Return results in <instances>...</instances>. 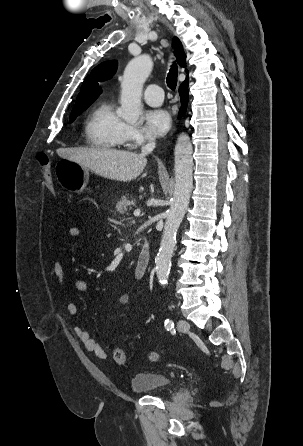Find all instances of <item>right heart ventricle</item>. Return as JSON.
<instances>
[{
  "label": "right heart ventricle",
  "mask_w": 303,
  "mask_h": 446,
  "mask_svg": "<svg viewBox=\"0 0 303 446\" xmlns=\"http://www.w3.org/2000/svg\"><path fill=\"white\" fill-rule=\"evenodd\" d=\"M124 122L116 114L111 101H101L88 115L84 125L87 145L99 149H115L124 144Z\"/></svg>",
  "instance_id": "obj_1"
}]
</instances>
